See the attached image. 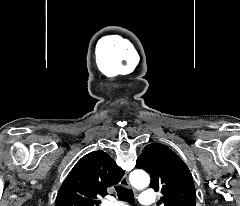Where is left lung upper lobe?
<instances>
[{
  "mask_svg": "<svg viewBox=\"0 0 240 206\" xmlns=\"http://www.w3.org/2000/svg\"><path fill=\"white\" fill-rule=\"evenodd\" d=\"M136 167L150 174V186L155 191H161L164 195L161 200L165 206H195L192 175L182 159L166 145H147L138 158Z\"/></svg>",
  "mask_w": 240,
  "mask_h": 206,
  "instance_id": "1",
  "label": "left lung upper lobe"
}]
</instances>
